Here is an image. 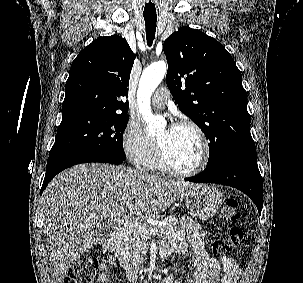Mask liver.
Returning <instances> with one entry per match:
<instances>
[{
  "mask_svg": "<svg viewBox=\"0 0 303 283\" xmlns=\"http://www.w3.org/2000/svg\"><path fill=\"white\" fill-rule=\"evenodd\" d=\"M182 180L152 176L125 166L88 163L58 174L42 195L43 233L56 280L97 244L95 225L129 211L159 214L189 188Z\"/></svg>",
  "mask_w": 303,
  "mask_h": 283,
  "instance_id": "obj_1",
  "label": "liver"
}]
</instances>
